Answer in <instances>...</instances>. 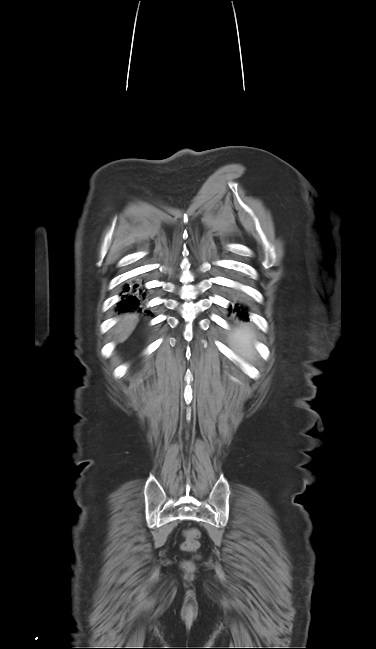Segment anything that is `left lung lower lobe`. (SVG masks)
Returning <instances> with one entry per match:
<instances>
[{"mask_svg": "<svg viewBox=\"0 0 376 649\" xmlns=\"http://www.w3.org/2000/svg\"><path fill=\"white\" fill-rule=\"evenodd\" d=\"M236 311L238 312L239 315L242 316V318H243L244 320H248V312H247V309H246V308H243V307H241V306L238 307V306L236 305Z\"/></svg>", "mask_w": 376, "mask_h": 649, "instance_id": "0a47b994", "label": "left lung lower lobe"}]
</instances>
